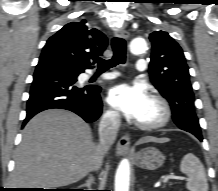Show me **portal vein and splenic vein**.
I'll return each instance as SVG.
<instances>
[{"label":"portal vein and splenic vein","instance_id":"1","mask_svg":"<svg viewBox=\"0 0 218 191\" xmlns=\"http://www.w3.org/2000/svg\"><path fill=\"white\" fill-rule=\"evenodd\" d=\"M183 177L175 176V175H167L164 177V183H167L169 180H183Z\"/></svg>","mask_w":218,"mask_h":191}]
</instances>
